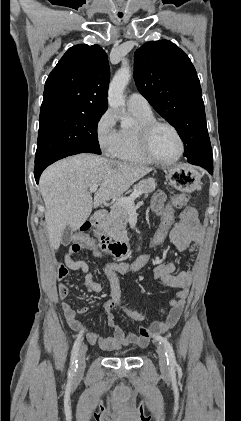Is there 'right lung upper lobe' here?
I'll list each match as a JSON object with an SVG mask.
<instances>
[{"mask_svg": "<svg viewBox=\"0 0 241 421\" xmlns=\"http://www.w3.org/2000/svg\"><path fill=\"white\" fill-rule=\"evenodd\" d=\"M109 81L107 54L99 45L73 46L46 80L41 111L104 113Z\"/></svg>", "mask_w": 241, "mask_h": 421, "instance_id": "cb5924a9", "label": "right lung upper lobe"}]
</instances>
